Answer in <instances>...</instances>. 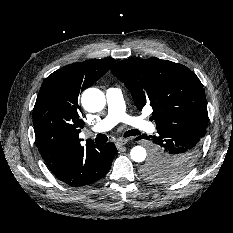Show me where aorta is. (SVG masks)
<instances>
[{
  "instance_id": "aorta-1",
  "label": "aorta",
  "mask_w": 233,
  "mask_h": 233,
  "mask_svg": "<svg viewBox=\"0 0 233 233\" xmlns=\"http://www.w3.org/2000/svg\"><path fill=\"white\" fill-rule=\"evenodd\" d=\"M82 106L88 112H99L106 104L105 95L96 88L86 89L81 97ZM146 150L142 146H135L131 149L130 156L135 162H143L146 158Z\"/></svg>"
}]
</instances>
